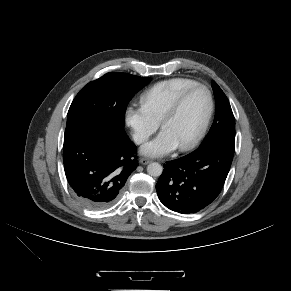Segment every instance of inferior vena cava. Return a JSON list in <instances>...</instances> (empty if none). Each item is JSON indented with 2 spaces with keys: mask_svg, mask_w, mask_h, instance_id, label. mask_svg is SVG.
Wrapping results in <instances>:
<instances>
[{
  "mask_svg": "<svg viewBox=\"0 0 291 291\" xmlns=\"http://www.w3.org/2000/svg\"><path fill=\"white\" fill-rule=\"evenodd\" d=\"M134 138V141L137 143V144H141L142 142H144L146 140L145 136L143 135H140V134H135L133 136Z\"/></svg>",
  "mask_w": 291,
  "mask_h": 291,
  "instance_id": "inferior-vena-cava-1",
  "label": "inferior vena cava"
}]
</instances>
